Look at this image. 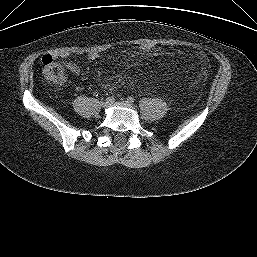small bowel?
I'll return each mask as SVG.
<instances>
[{
  "label": "small bowel",
  "mask_w": 257,
  "mask_h": 257,
  "mask_svg": "<svg viewBox=\"0 0 257 257\" xmlns=\"http://www.w3.org/2000/svg\"><path fill=\"white\" fill-rule=\"evenodd\" d=\"M50 56L53 59H61V66L65 69H67L71 74L73 75H78L80 70L79 66L77 65L74 55L68 54V53H60V52H53L50 54ZM97 53L91 52L88 54V57L90 59H96L97 58Z\"/></svg>",
  "instance_id": "1"
}]
</instances>
